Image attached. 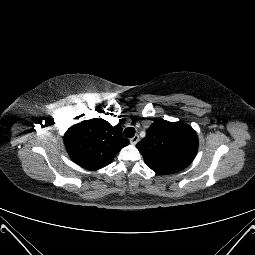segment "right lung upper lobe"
<instances>
[{"mask_svg": "<svg viewBox=\"0 0 255 255\" xmlns=\"http://www.w3.org/2000/svg\"><path fill=\"white\" fill-rule=\"evenodd\" d=\"M66 150L78 165L88 170L101 169L129 144L119 124L112 127L103 119L94 118L70 127L64 136Z\"/></svg>", "mask_w": 255, "mask_h": 255, "instance_id": "1", "label": "right lung upper lobe"}]
</instances>
